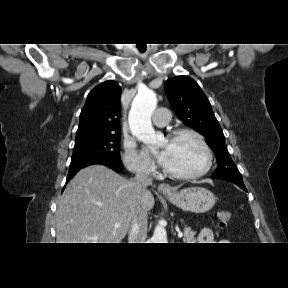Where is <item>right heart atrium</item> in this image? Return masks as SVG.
Returning a JSON list of instances; mask_svg holds the SVG:
<instances>
[{"instance_id":"obj_1","label":"right heart atrium","mask_w":288,"mask_h":288,"mask_svg":"<svg viewBox=\"0 0 288 288\" xmlns=\"http://www.w3.org/2000/svg\"><path fill=\"white\" fill-rule=\"evenodd\" d=\"M123 146V161L131 172L140 175H149L154 171L155 166L152 159L139 151L133 140L126 139Z\"/></svg>"}]
</instances>
